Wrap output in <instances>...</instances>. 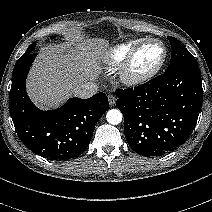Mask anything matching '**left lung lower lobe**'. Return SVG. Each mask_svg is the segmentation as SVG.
I'll use <instances>...</instances> for the list:
<instances>
[{
	"mask_svg": "<svg viewBox=\"0 0 212 212\" xmlns=\"http://www.w3.org/2000/svg\"><path fill=\"white\" fill-rule=\"evenodd\" d=\"M116 94L130 147L143 156H161L183 144L195 127L203 100L200 70L179 67Z\"/></svg>",
	"mask_w": 212,
	"mask_h": 212,
	"instance_id": "1",
	"label": "left lung lower lobe"
}]
</instances>
